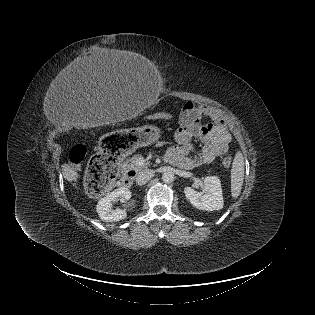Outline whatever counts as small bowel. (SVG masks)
<instances>
[{
  "label": "small bowel",
  "instance_id": "small-bowel-1",
  "mask_svg": "<svg viewBox=\"0 0 315 315\" xmlns=\"http://www.w3.org/2000/svg\"><path fill=\"white\" fill-rule=\"evenodd\" d=\"M208 118L210 121L204 123ZM175 145L167 152V160L182 169H193L211 163L225 154L231 140L219 113L211 107L187 103L181 110L178 128L174 134ZM203 143L196 149L192 141Z\"/></svg>",
  "mask_w": 315,
  "mask_h": 315
}]
</instances>
